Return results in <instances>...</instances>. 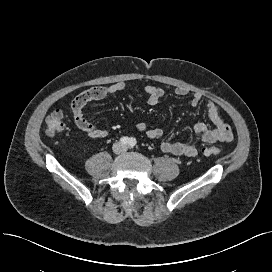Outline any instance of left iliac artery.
<instances>
[{"label":"left iliac artery","instance_id":"1","mask_svg":"<svg viewBox=\"0 0 272 272\" xmlns=\"http://www.w3.org/2000/svg\"><path fill=\"white\" fill-rule=\"evenodd\" d=\"M136 143H137V141H136L135 138H131V139L129 140V145H130V147H134V146L136 145Z\"/></svg>","mask_w":272,"mask_h":272}]
</instances>
